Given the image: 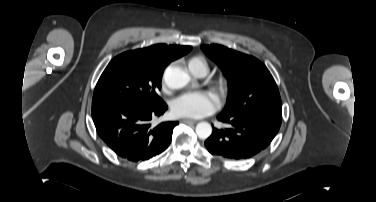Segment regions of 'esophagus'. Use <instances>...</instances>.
I'll return each instance as SVG.
<instances>
[{"label": "esophagus", "mask_w": 376, "mask_h": 202, "mask_svg": "<svg viewBox=\"0 0 376 202\" xmlns=\"http://www.w3.org/2000/svg\"><path fill=\"white\" fill-rule=\"evenodd\" d=\"M182 122L188 123V124H195L197 121L196 120H191V119H182Z\"/></svg>", "instance_id": "esophagus-1"}]
</instances>
